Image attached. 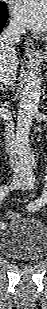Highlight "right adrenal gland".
I'll list each match as a JSON object with an SVG mask.
<instances>
[{"instance_id": "2a0ac1e0", "label": "right adrenal gland", "mask_w": 47, "mask_h": 309, "mask_svg": "<svg viewBox=\"0 0 47 309\" xmlns=\"http://www.w3.org/2000/svg\"><path fill=\"white\" fill-rule=\"evenodd\" d=\"M0 89H1L2 91H4V88H3L2 86L0 87Z\"/></svg>"}]
</instances>
